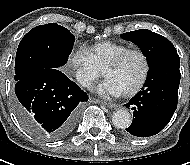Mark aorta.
Here are the masks:
<instances>
[{"instance_id": "1", "label": "aorta", "mask_w": 190, "mask_h": 165, "mask_svg": "<svg viewBox=\"0 0 190 165\" xmlns=\"http://www.w3.org/2000/svg\"><path fill=\"white\" fill-rule=\"evenodd\" d=\"M115 127L125 129L130 126L132 119L130 113L126 109H118L112 117Z\"/></svg>"}]
</instances>
